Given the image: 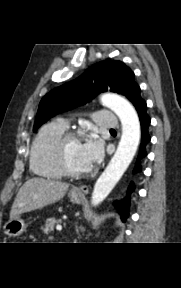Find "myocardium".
Listing matches in <instances>:
<instances>
[{"mask_svg": "<svg viewBox=\"0 0 181 288\" xmlns=\"http://www.w3.org/2000/svg\"><path fill=\"white\" fill-rule=\"evenodd\" d=\"M84 134L79 131H67L65 132L56 142L55 145V160L58 168L62 172L63 175L80 178L86 176L90 173L91 168L84 171H76L72 169L66 159V147L67 145L74 140L82 139Z\"/></svg>", "mask_w": 181, "mask_h": 288, "instance_id": "myocardium-1", "label": "myocardium"}]
</instances>
